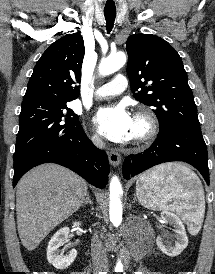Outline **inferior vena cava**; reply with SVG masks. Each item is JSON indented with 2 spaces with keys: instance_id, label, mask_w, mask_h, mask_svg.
Returning <instances> with one entry per match:
<instances>
[{
  "instance_id": "1",
  "label": "inferior vena cava",
  "mask_w": 215,
  "mask_h": 274,
  "mask_svg": "<svg viewBox=\"0 0 215 274\" xmlns=\"http://www.w3.org/2000/svg\"><path fill=\"white\" fill-rule=\"evenodd\" d=\"M92 140L99 148H105V143L100 137H94ZM91 256L94 271H106L108 269L106 251L96 234L93 236L91 241Z\"/></svg>"
}]
</instances>
